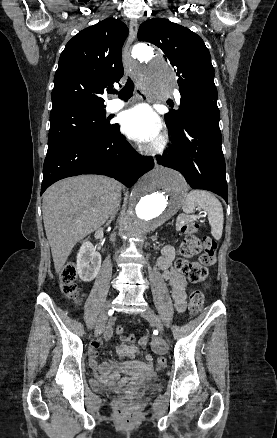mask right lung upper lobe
I'll return each instance as SVG.
<instances>
[{
  "label": "right lung upper lobe",
  "mask_w": 277,
  "mask_h": 438,
  "mask_svg": "<svg viewBox=\"0 0 277 438\" xmlns=\"http://www.w3.org/2000/svg\"><path fill=\"white\" fill-rule=\"evenodd\" d=\"M127 36L123 22L107 18L66 44L54 77L50 114L105 108L100 95L124 74L121 48Z\"/></svg>",
  "instance_id": "cb5924a9"
}]
</instances>
